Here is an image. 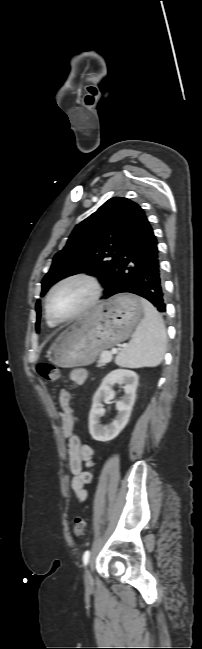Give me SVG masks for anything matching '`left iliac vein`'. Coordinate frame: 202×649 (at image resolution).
Listing matches in <instances>:
<instances>
[{
  "label": "left iliac vein",
  "mask_w": 202,
  "mask_h": 649,
  "mask_svg": "<svg viewBox=\"0 0 202 649\" xmlns=\"http://www.w3.org/2000/svg\"><path fill=\"white\" fill-rule=\"evenodd\" d=\"M84 583H85V587L87 589H92L94 582H93L91 572H90V570L88 568L85 569Z\"/></svg>",
  "instance_id": "obj_1"
}]
</instances>
